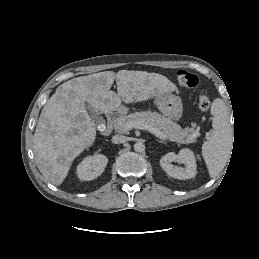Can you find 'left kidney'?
Instances as JSON below:
<instances>
[{
	"mask_svg": "<svg viewBox=\"0 0 259 259\" xmlns=\"http://www.w3.org/2000/svg\"><path fill=\"white\" fill-rule=\"evenodd\" d=\"M172 162L184 164V168L174 166ZM162 169L175 179L186 180L196 176L197 165L194 153L190 149H181L178 154L169 152L160 160Z\"/></svg>",
	"mask_w": 259,
	"mask_h": 259,
	"instance_id": "5707ae66",
	"label": "left kidney"
}]
</instances>
